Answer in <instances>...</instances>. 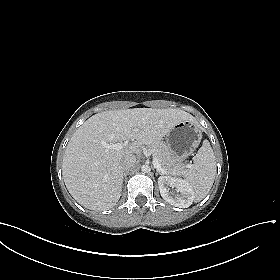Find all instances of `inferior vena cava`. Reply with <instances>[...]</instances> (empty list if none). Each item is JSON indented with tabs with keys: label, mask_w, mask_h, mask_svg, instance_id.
I'll return each instance as SVG.
<instances>
[{
	"label": "inferior vena cava",
	"mask_w": 280,
	"mask_h": 280,
	"mask_svg": "<svg viewBox=\"0 0 280 280\" xmlns=\"http://www.w3.org/2000/svg\"><path fill=\"white\" fill-rule=\"evenodd\" d=\"M136 163V157L134 155H127L122 160V169L127 172Z\"/></svg>",
	"instance_id": "602c4592"
}]
</instances>
